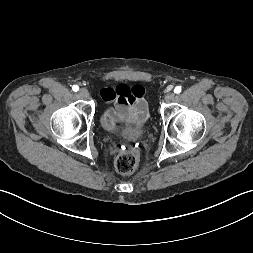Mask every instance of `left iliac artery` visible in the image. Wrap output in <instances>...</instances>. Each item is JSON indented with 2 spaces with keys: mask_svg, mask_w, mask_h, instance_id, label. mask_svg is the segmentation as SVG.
<instances>
[{
  "mask_svg": "<svg viewBox=\"0 0 253 253\" xmlns=\"http://www.w3.org/2000/svg\"><path fill=\"white\" fill-rule=\"evenodd\" d=\"M180 92H181V87L180 86L175 87L174 93L179 94Z\"/></svg>",
  "mask_w": 253,
  "mask_h": 253,
  "instance_id": "44dca946",
  "label": "left iliac artery"
}]
</instances>
